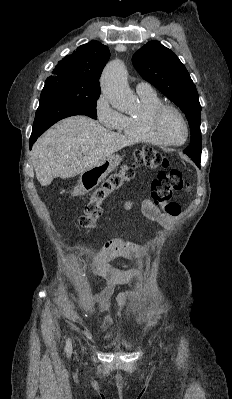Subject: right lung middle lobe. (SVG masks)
<instances>
[{"label":"right lung middle lobe","mask_w":232,"mask_h":399,"mask_svg":"<svg viewBox=\"0 0 232 399\" xmlns=\"http://www.w3.org/2000/svg\"><path fill=\"white\" fill-rule=\"evenodd\" d=\"M100 91H92L71 86L59 81H46L40 100L60 101L74 105L90 117L96 119V102Z\"/></svg>","instance_id":"dd1d6c3e"}]
</instances>
